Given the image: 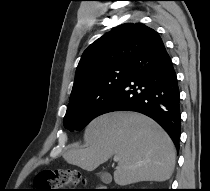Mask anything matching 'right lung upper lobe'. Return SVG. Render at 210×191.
<instances>
[{
    "label": "right lung upper lobe",
    "instance_id": "1",
    "mask_svg": "<svg viewBox=\"0 0 210 191\" xmlns=\"http://www.w3.org/2000/svg\"><path fill=\"white\" fill-rule=\"evenodd\" d=\"M157 32L141 23H125L92 43L78 64L71 96L86 88L99 72L130 64Z\"/></svg>",
    "mask_w": 210,
    "mask_h": 191
}]
</instances>
